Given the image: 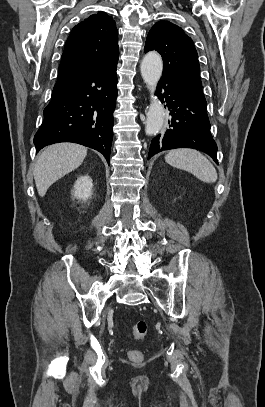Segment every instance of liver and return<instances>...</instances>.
<instances>
[{
  "label": "liver",
  "mask_w": 265,
  "mask_h": 407,
  "mask_svg": "<svg viewBox=\"0 0 265 407\" xmlns=\"http://www.w3.org/2000/svg\"><path fill=\"white\" fill-rule=\"evenodd\" d=\"M86 154L87 148L75 143H57L45 148L34 169L38 194L43 197L53 183L78 168Z\"/></svg>",
  "instance_id": "liver-1"
}]
</instances>
